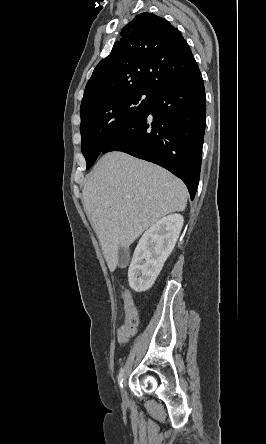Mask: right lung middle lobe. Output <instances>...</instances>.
I'll list each match as a JSON object with an SVG mask.
<instances>
[{
    "label": "right lung middle lobe",
    "instance_id": "right-lung-middle-lobe-1",
    "mask_svg": "<svg viewBox=\"0 0 266 444\" xmlns=\"http://www.w3.org/2000/svg\"><path fill=\"white\" fill-rule=\"evenodd\" d=\"M152 92L124 90L101 97L82 110V153L89 169L107 144L143 117L150 108Z\"/></svg>",
    "mask_w": 266,
    "mask_h": 444
}]
</instances>
